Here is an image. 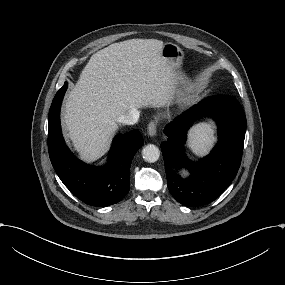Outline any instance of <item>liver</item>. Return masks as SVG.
Segmentation results:
<instances>
[{
  "mask_svg": "<svg viewBox=\"0 0 285 285\" xmlns=\"http://www.w3.org/2000/svg\"><path fill=\"white\" fill-rule=\"evenodd\" d=\"M157 39H130L93 54L65 102L67 136L82 160L108 150L118 118L132 108L164 107L173 99L177 74Z\"/></svg>",
  "mask_w": 285,
  "mask_h": 285,
  "instance_id": "1",
  "label": "liver"
}]
</instances>
